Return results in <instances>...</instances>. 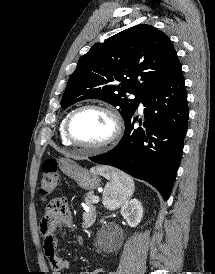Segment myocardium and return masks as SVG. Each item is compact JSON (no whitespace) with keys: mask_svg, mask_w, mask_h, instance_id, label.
Listing matches in <instances>:
<instances>
[{"mask_svg":"<svg viewBox=\"0 0 215 274\" xmlns=\"http://www.w3.org/2000/svg\"><path fill=\"white\" fill-rule=\"evenodd\" d=\"M88 109H94V110H99L101 112H104L105 114L109 116V118L112 121V126H113L112 133L107 139L97 144L81 143L77 141L71 133V124L74 117L79 112L88 110ZM122 131H123V123L119 113L111 106L104 105V104H97V103H89V104H84L77 107L76 109H74L73 111L69 113L64 125L65 136L72 145L86 149V150H91V151H102L109 148L110 146H112L118 141V139L122 135Z\"/></svg>","mask_w":215,"mask_h":274,"instance_id":"myocardium-1","label":"myocardium"}]
</instances>
